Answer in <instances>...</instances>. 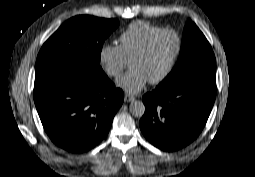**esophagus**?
<instances>
[{"label": "esophagus", "instance_id": "esophagus-1", "mask_svg": "<svg viewBox=\"0 0 255 177\" xmlns=\"http://www.w3.org/2000/svg\"><path fill=\"white\" fill-rule=\"evenodd\" d=\"M124 101H125V102L134 101V97H133V96H130V95H128V94H125V96H124Z\"/></svg>", "mask_w": 255, "mask_h": 177}]
</instances>
